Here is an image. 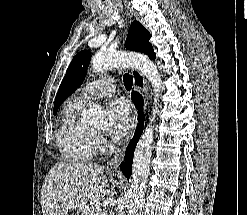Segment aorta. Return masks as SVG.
<instances>
[{
  "label": "aorta",
  "mask_w": 247,
  "mask_h": 215,
  "mask_svg": "<svg viewBox=\"0 0 247 215\" xmlns=\"http://www.w3.org/2000/svg\"><path fill=\"white\" fill-rule=\"evenodd\" d=\"M110 67L126 68L135 67L151 82L155 92V100L159 97L162 85L160 74L156 65L146 56L137 53L126 52H99L92 59L94 72H101ZM157 105L153 110L156 114ZM153 117L145 127L144 132L137 143L132 165V180L130 186V201L127 215H141L143 199L146 193V182L149 174V164L152 156L153 144ZM84 122L88 126L98 127L103 122V111L98 104L90 103L89 109L84 115Z\"/></svg>",
  "instance_id": "1"
}]
</instances>
